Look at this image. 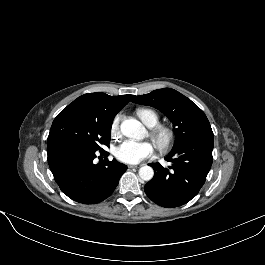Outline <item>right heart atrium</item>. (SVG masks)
I'll use <instances>...</instances> for the list:
<instances>
[{
  "mask_svg": "<svg viewBox=\"0 0 265 265\" xmlns=\"http://www.w3.org/2000/svg\"><path fill=\"white\" fill-rule=\"evenodd\" d=\"M121 115H116L111 122L110 131L112 135H119L120 133V123H121Z\"/></svg>",
  "mask_w": 265,
  "mask_h": 265,
  "instance_id": "right-heart-atrium-1",
  "label": "right heart atrium"
}]
</instances>
